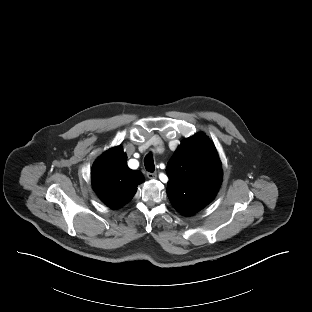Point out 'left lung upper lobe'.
Returning <instances> with one entry per match:
<instances>
[{
  "label": "left lung upper lobe",
  "mask_w": 312,
  "mask_h": 312,
  "mask_svg": "<svg viewBox=\"0 0 312 312\" xmlns=\"http://www.w3.org/2000/svg\"><path fill=\"white\" fill-rule=\"evenodd\" d=\"M214 144L203 134L185 139L168 162L167 195L183 215H192L216 196L222 182Z\"/></svg>",
  "instance_id": "5c2ea615"
}]
</instances>
